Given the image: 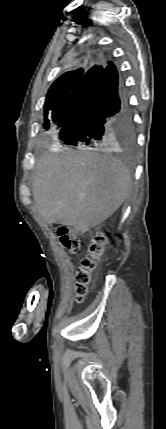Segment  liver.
<instances>
[{
    "label": "liver",
    "instance_id": "1",
    "mask_svg": "<svg viewBox=\"0 0 166 429\" xmlns=\"http://www.w3.org/2000/svg\"><path fill=\"white\" fill-rule=\"evenodd\" d=\"M129 169L120 160L88 151L46 153L35 167L33 199L49 224L85 233L121 206L131 189Z\"/></svg>",
    "mask_w": 166,
    "mask_h": 429
}]
</instances>
